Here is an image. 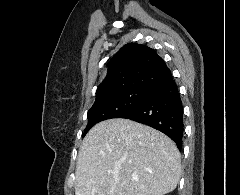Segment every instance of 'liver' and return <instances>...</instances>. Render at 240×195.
<instances>
[{
	"label": "liver",
	"mask_w": 240,
	"mask_h": 195,
	"mask_svg": "<svg viewBox=\"0 0 240 195\" xmlns=\"http://www.w3.org/2000/svg\"><path fill=\"white\" fill-rule=\"evenodd\" d=\"M181 177V155L158 129L131 119H105L79 149L75 195H164Z\"/></svg>",
	"instance_id": "liver-1"
}]
</instances>
